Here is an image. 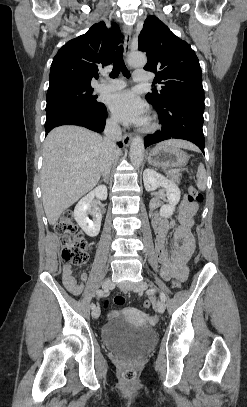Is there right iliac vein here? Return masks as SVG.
Instances as JSON below:
<instances>
[{
  "label": "right iliac vein",
  "mask_w": 247,
  "mask_h": 407,
  "mask_svg": "<svg viewBox=\"0 0 247 407\" xmlns=\"http://www.w3.org/2000/svg\"><path fill=\"white\" fill-rule=\"evenodd\" d=\"M102 287H103L105 290L113 289L114 283H113L110 279H106V280L103 282ZM99 316H100V308L97 307V308L93 309V311H92V317L95 318V319H97V318H99Z\"/></svg>",
  "instance_id": "obj_1"
}]
</instances>
